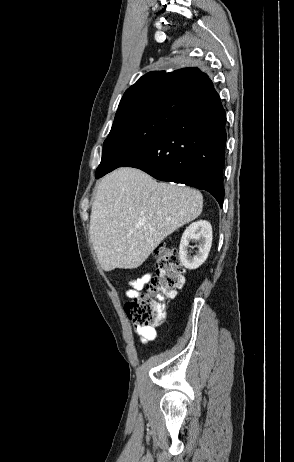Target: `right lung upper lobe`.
Instances as JSON below:
<instances>
[{
  "label": "right lung upper lobe",
  "mask_w": 294,
  "mask_h": 462,
  "mask_svg": "<svg viewBox=\"0 0 294 462\" xmlns=\"http://www.w3.org/2000/svg\"><path fill=\"white\" fill-rule=\"evenodd\" d=\"M212 85L209 77L198 68H182L173 72L152 71L126 90L117 112L138 102L170 93L198 95Z\"/></svg>",
  "instance_id": "obj_1"
}]
</instances>
